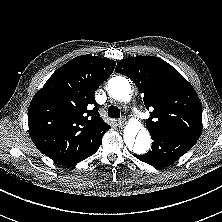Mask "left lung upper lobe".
<instances>
[{
  "label": "left lung upper lobe",
  "mask_w": 222,
  "mask_h": 222,
  "mask_svg": "<svg viewBox=\"0 0 222 222\" xmlns=\"http://www.w3.org/2000/svg\"><path fill=\"white\" fill-rule=\"evenodd\" d=\"M116 72L128 76L144 95L148 131H169L198 139L202 132V106L192 85L170 64L154 56L129 57Z\"/></svg>",
  "instance_id": "left-lung-upper-lobe-1"
}]
</instances>
